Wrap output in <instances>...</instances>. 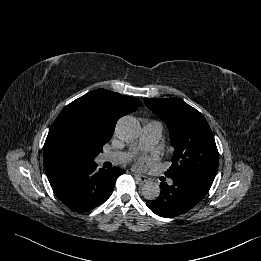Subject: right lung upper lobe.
<instances>
[{
    "label": "right lung upper lobe",
    "instance_id": "cb5924a9",
    "mask_svg": "<svg viewBox=\"0 0 261 261\" xmlns=\"http://www.w3.org/2000/svg\"><path fill=\"white\" fill-rule=\"evenodd\" d=\"M141 105L142 103L134 97L123 96L106 89L91 91L68 104L52 124L44 144L43 161L46 174L79 165L63 159L56 152L57 139L70 119L80 115L88 116L112 137L117 120Z\"/></svg>",
    "mask_w": 261,
    "mask_h": 261
}]
</instances>
